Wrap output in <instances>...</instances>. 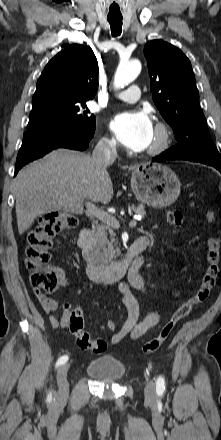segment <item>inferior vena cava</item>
Listing matches in <instances>:
<instances>
[{
    "label": "inferior vena cava",
    "mask_w": 221,
    "mask_h": 440,
    "mask_svg": "<svg viewBox=\"0 0 221 440\" xmlns=\"http://www.w3.org/2000/svg\"><path fill=\"white\" fill-rule=\"evenodd\" d=\"M91 158L97 170L104 171L117 158L116 143L108 139H101L95 146Z\"/></svg>",
    "instance_id": "602c4592"
}]
</instances>
